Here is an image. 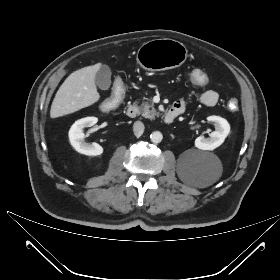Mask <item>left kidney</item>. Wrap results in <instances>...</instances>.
Instances as JSON below:
<instances>
[{
    "mask_svg": "<svg viewBox=\"0 0 280 280\" xmlns=\"http://www.w3.org/2000/svg\"><path fill=\"white\" fill-rule=\"evenodd\" d=\"M209 122H214L215 131L210 134L209 138L200 136L195 140V147L201 150H214L219 147L230 133V124L228 121L219 116L207 117Z\"/></svg>",
    "mask_w": 280,
    "mask_h": 280,
    "instance_id": "1",
    "label": "left kidney"
}]
</instances>
